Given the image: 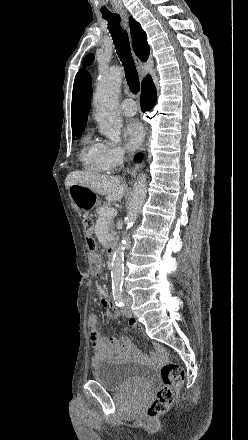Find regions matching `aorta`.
Listing matches in <instances>:
<instances>
[{"instance_id": "1", "label": "aorta", "mask_w": 248, "mask_h": 440, "mask_svg": "<svg viewBox=\"0 0 248 440\" xmlns=\"http://www.w3.org/2000/svg\"><path fill=\"white\" fill-rule=\"evenodd\" d=\"M122 79V70L114 67L101 74L94 95L95 119L100 132L111 142L119 143L122 128V120L118 112V97ZM147 194V177L141 173L135 181L130 203L125 218L126 231L137 220ZM127 233H123L121 242L118 244L112 259L111 278L112 286L117 289L123 283L124 251Z\"/></svg>"}]
</instances>
